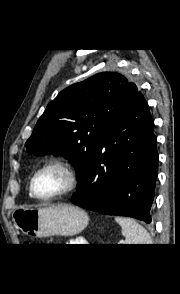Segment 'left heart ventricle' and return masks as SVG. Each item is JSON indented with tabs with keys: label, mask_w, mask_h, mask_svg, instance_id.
I'll use <instances>...</instances> for the list:
<instances>
[{
	"label": "left heart ventricle",
	"mask_w": 180,
	"mask_h": 294,
	"mask_svg": "<svg viewBox=\"0 0 180 294\" xmlns=\"http://www.w3.org/2000/svg\"><path fill=\"white\" fill-rule=\"evenodd\" d=\"M65 183L66 177L63 172L58 169H49L39 174L35 187L39 195L48 196L60 191Z\"/></svg>",
	"instance_id": "left-heart-ventricle-1"
}]
</instances>
